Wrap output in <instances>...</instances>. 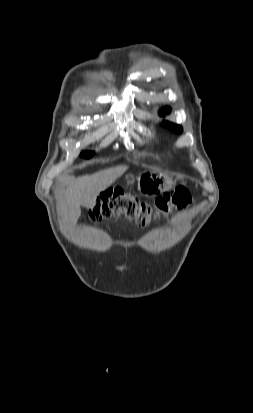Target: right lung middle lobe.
Here are the masks:
<instances>
[{
	"label": "right lung middle lobe",
	"mask_w": 253,
	"mask_h": 413,
	"mask_svg": "<svg viewBox=\"0 0 253 413\" xmlns=\"http://www.w3.org/2000/svg\"><path fill=\"white\" fill-rule=\"evenodd\" d=\"M81 156L84 158H90L93 156V152H82Z\"/></svg>",
	"instance_id": "obj_1"
}]
</instances>
